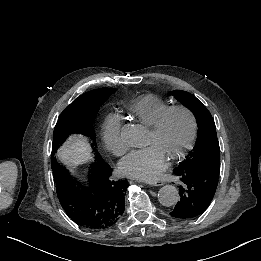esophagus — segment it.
Here are the masks:
<instances>
[{"mask_svg":"<svg viewBox=\"0 0 261 261\" xmlns=\"http://www.w3.org/2000/svg\"><path fill=\"white\" fill-rule=\"evenodd\" d=\"M145 183L152 186H161L164 184L162 180H145Z\"/></svg>","mask_w":261,"mask_h":261,"instance_id":"esophagus-1","label":"esophagus"}]
</instances>
